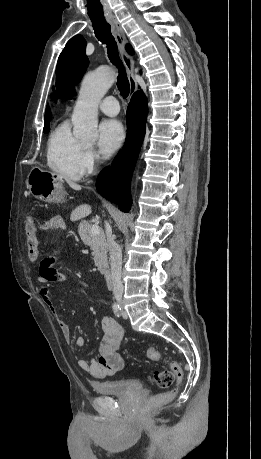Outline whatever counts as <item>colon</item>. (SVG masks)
Returning a JSON list of instances; mask_svg holds the SVG:
<instances>
[{"mask_svg":"<svg viewBox=\"0 0 261 459\" xmlns=\"http://www.w3.org/2000/svg\"><path fill=\"white\" fill-rule=\"evenodd\" d=\"M24 223L23 227L19 228L18 233L20 236H25V239L27 240L25 245L26 250L29 252V259L31 261H42L45 258V255L40 252L41 248L38 247L41 245V242L38 241L40 239V230L38 225L33 221L31 216H26L24 218ZM147 357L151 360H159L162 356L156 348H149L147 350ZM182 377L183 372L181 366L176 362H171V369L154 372L152 375V381L160 388H169L175 382L180 383L182 381ZM175 394L176 390L153 395L149 398L148 404L151 407L157 406L171 400Z\"/></svg>","mask_w":261,"mask_h":459,"instance_id":"obj_1","label":"colon"}]
</instances>
